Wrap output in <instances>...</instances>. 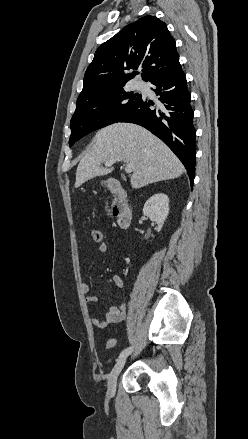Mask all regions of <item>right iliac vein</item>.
Instances as JSON below:
<instances>
[{
	"mask_svg": "<svg viewBox=\"0 0 248 439\" xmlns=\"http://www.w3.org/2000/svg\"><path fill=\"white\" fill-rule=\"evenodd\" d=\"M127 357L124 356L122 358H120L116 364L114 365L113 369L111 370L110 374H109V379H108V391L111 395L115 394L116 391V383H117V378L120 374V372L122 371L125 363H126Z\"/></svg>",
	"mask_w": 248,
	"mask_h": 439,
	"instance_id": "1",
	"label": "right iliac vein"
}]
</instances>
